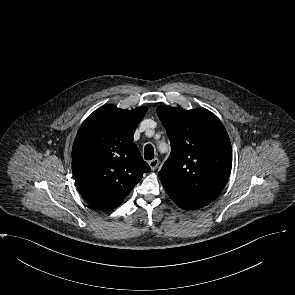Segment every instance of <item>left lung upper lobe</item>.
Instances as JSON below:
<instances>
[{"label":"left lung upper lobe","instance_id":"5c2ea615","mask_svg":"<svg viewBox=\"0 0 295 295\" xmlns=\"http://www.w3.org/2000/svg\"><path fill=\"white\" fill-rule=\"evenodd\" d=\"M157 114L171 142L159 172L170 198L182 209H199L221 193L232 167V149L220 120L207 109L160 106Z\"/></svg>","mask_w":295,"mask_h":295}]
</instances>
